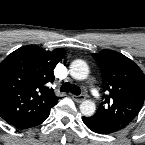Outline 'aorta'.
I'll use <instances>...</instances> for the list:
<instances>
[{
  "instance_id": "obj_1",
  "label": "aorta",
  "mask_w": 145,
  "mask_h": 145,
  "mask_svg": "<svg viewBox=\"0 0 145 145\" xmlns=\"http://www.w3.org/2000/svg\"><path fill=\"white\" fill-rule=\"evenodd\" d=\"M70 74L77 80H84L89 74V68L85 61L81 59L74 60L70 65ZM95 103L86 100L80 104V111L84 116H92L95 113Z\"/></svg>"
}]
</instances>
